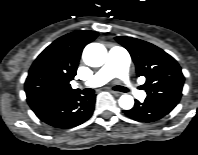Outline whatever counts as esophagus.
Wrapping results in <instances>:
<instances>
[{
  "instance_id": "esophagus-1",
  "label": "esophagus",
  "mask_w": 198,
  "mask_h": 155,
  "mask_svg": "<svg viewBox=\"0 0 198 155\" xmlns=\"http://www.w3.org/2000/svg\"><path fill=\"white\" fill-rule=\"evenodd\" d=\"M111 93L115 96H120L122 93L118 91L111 90Z\"/></svg>"
}]
</instances>
